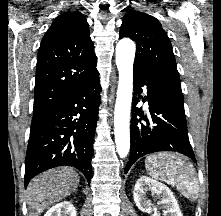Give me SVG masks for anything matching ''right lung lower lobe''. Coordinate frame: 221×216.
I'll return each instance as SVG.
<instances>
[{
    "mask_svg": "<svg viewBox=\"0 0 221 216\" xmlns=\"http://www.w3.org/2000/svg\"><path fill=\"white\" fill-rule=\"evenodd\" d=\"M100 91L97 76L33 116L25 187L35 175L64 165L79 169L90 182Z\"/></svg>",
    "mask_w": 221,
    "mask_h": 216,
    "instance_id": "obj_1",
    "label": "right lung lower lobe"
}]
</instances>
